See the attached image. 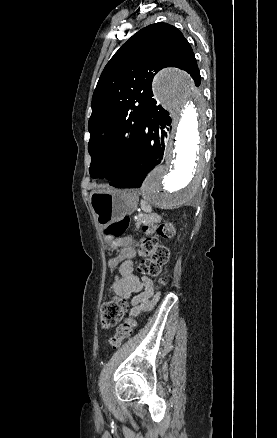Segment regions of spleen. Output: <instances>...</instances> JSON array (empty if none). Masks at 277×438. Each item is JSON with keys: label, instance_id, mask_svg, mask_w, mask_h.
Wrapping results in <instances>:
<instances>
[{"label": "spleen", "instance_id": "1", "mask_svg": "<svg viewBox=\"0 0 277 438\" xmlns=\"http://www.w3.org/2000/svg\"><path fill=\"white\" fill-rule=\"evenodd\" d=\"M141 208L142 210H144V212H147V214H149V212H152L151 206H148V204H144V202H142Z\"/></svg>", "mask_w": 277, "mask_h": 438}]
</instances>
